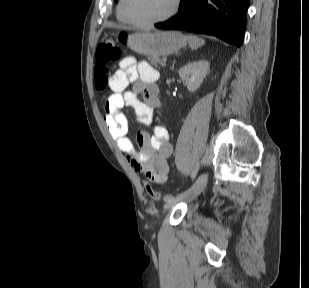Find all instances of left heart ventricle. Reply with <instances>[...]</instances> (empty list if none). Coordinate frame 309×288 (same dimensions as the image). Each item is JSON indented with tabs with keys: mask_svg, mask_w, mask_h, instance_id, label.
Listing matches in <instances>:
<instances>
[{
	"mask_svg": "<svg viewBox=\"0 0 309 288\" xmlns=\"http://www.w3.org/2000/svg\"><path fill=\"white\" fill-rule=\"evenodd\" d=\"M173 0H128L129 15L137 21H150L168 13Z\"/></svg>",
	"mask_w": 309,
	"mask_h": 288,
	"instance_id": "1",
	"label": "left heart ventricle"
}]
</instances>
